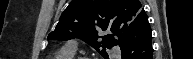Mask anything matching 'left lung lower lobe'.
<instances>
[{
	"instance_id": "1",
	"label": "left lung lower lobe",
	"mask_w": 193,
	"mask_h": 59,
	"mask_svg": "<svg viewBox=\"0 0 193 59\" xmlns=\"http://www.w3.org/2000/svg\"><path fill=\"white\" fill-rule=\"evenodd\" d=\"M152 32L148 17L140 14L118 41L122 59H153Z\"/></svg>"
}]
</instances>
